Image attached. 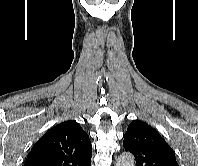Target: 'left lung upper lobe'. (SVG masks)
<instances>
[{
  "label": "left lung upper lobe",
  "mask_w": 198,
  "mask_h": 166,
  "mask_svg": "<svg viewBox=\"0 0 198 166\" xmlns=\"http://www.w3.org/2000/svg\"><path fill=\"white\" fill-rule=\"evenodd\" d=\"M123 146L134 155L136 166H178L173 149L155 129L140 120L128 126Z\"/></svg>",
  "instance_id": "1"
}]
</instances>
